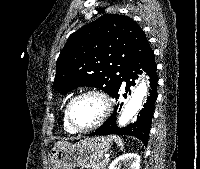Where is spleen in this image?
I'll list each match as a JSON object with an SVG mask.
<instances>
[{
    "label": "spleen",
    "instance_id": "3e777b00",
    "mask_svg": "<svg viewBox=\"0 0 200 169\" xmlns=\"http://www.w3.org/2000/svg\"><path fill=\"white\" fill-rule=\"evenodd\" d=\"M111 139H113L121 149L124 148V144H123L122 139L120 137L113 135V136H111Z\"/></svg>",
    "mask_w": 200,
    "mask_h": 169
}]
</instances>
